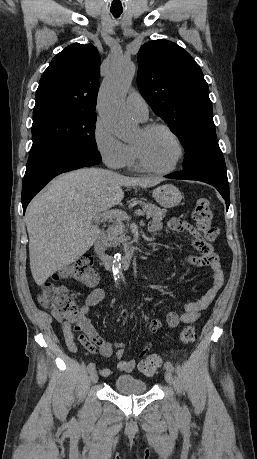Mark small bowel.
I'll return each instance as SVG.
<instances>
[{
	"instance_id": "small-bowel-1",
	"label": "small bowel",
	"mask_w": 257,
	"mask_h": 459,
	"mask_svg": "<svg viewBox=\"0 0 257 459\" xmlns=\"http://www.w3.org/2000/svg\"><path fill=\"white\" fill-rule=\"evenodd\" d=\"M165 225L172 231L186 233L191 239L196 251L199 252L198 255L187 257L186 262L195 267L206 266L212 273L211 287L200 300L185 303L181 313H177L175 311L168 312L166 316V323L169 328H175L181 324H191L195 322L199 318L200 314L208 308L210 303L221 290L224 285L225 278L217 253L209 243L199 238L198 233L192 224L184 220L170 219ZM161 228L162 223L160 221H152L148 226L151 233H155ZM104 297L105 292L102 288H94L86 297L76 317L71 321H63L62 328L67 348L72 353L78 352L79 349L75 342L76 337L78 341L91 353H100L103 357H110L115 351L114 356L116 368L122 372H132L136 367V361L123 360L125 353L124 343L117 341L109 342L103 339L87 317L91 307L100 303ZM161 326L162 322L159 319H154L149 323L148 329L151 333H153L160 329ZM150 345V343H147L146 347L141 352V357L147 353ZM100 373L103 377H107L110 375L111 371L109 368H103Z\"/></svg>"
}]
</instances>
